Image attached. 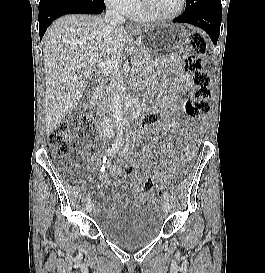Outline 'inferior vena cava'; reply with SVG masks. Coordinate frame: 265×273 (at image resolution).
<instances>
[{
    "instance_id": "1",
    "label": "inferior vena cava",
    "mask_w": 265,
    "mask_h": 273,
    "mask_svg": "<svg viewBox=\"0 0 265 273\" xmlns=\"http://www.w3.org/2000/svg\"><path fill=\"white\" fill-rule=\"evenodd\" d=\"M105 22L110 26H116L125 21L124 17L114 8L108 9L104 18ZM101 126L105 135L112 134L114 132V126L112 120L108 115H104L102 118Z\"/></svg>"
}]
</instances>
